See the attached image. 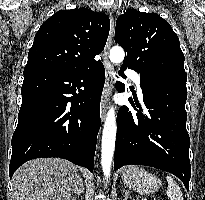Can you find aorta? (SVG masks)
Wrapping results in <instances>:
<instances>
[{
  "instance_id": "762f6f07",
  "label": "aorta",
  "mask_w": 205,
  "mask_h": 200,
  "mask_svg": "<svg viewBox=\"0 0 205 200\" xmlns=\"http://www.w3.org/2000/svg\"><path fill=\"white\" fill-rule=\"evenodd\" d=\"M124 56L123 48L114 46L110 50L109 59L112 63L119 64L123 61ZM116 131L115 109L111 107L107 113L102 133L101 165L106 179H108L111 173Z\"/></svg>"
}]
</instances>
